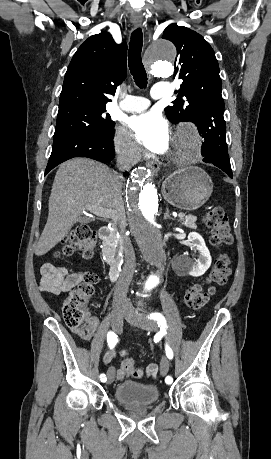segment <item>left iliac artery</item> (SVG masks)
I'll return each mask as SVG.
<instances>
[{
    "label": "left iliac artery",
    "mask_w": 271,
    "mask_h": 459,
    "mask_svg": "<svg viewBox=\"0 0 271 459\" xmlns=\"http://www.w3.org/2000/svg\"><path fill=\"white\" fill-rule=\"evenodd\" d=\"M149 318V317H148ZM150 319H153V320H156L158 322V325L160 326L161 325V330H160V333L162 335H165L167 333V329H168V326L166 325V320L165 318L160 314V313H151L150 314ZM166 356L169 358V359H172L173 358V351L172 349L166 345ZM172 377H166L165 378V381H166V386H171V382H172Z\"/></svg>",
    "instance_id": "44dca946"
}]
</instances>
